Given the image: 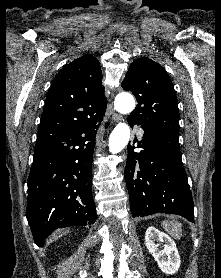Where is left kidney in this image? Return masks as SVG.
<instances>
[{"mask_svg":"<svg viewBox=\"0 0 221 278\" xmlns=\"http://www.w3.org/2000/svg\"><path fill=\"white\" fill-rule=\"evenodd\" d=\"M145 245L164 273L172 275L178 271L181 260L171 237L150 226L145 233Z\"/></svg>","mask_w":221,"mask_h":278,"instance_id":"5707ae66","label":"left kidney"}]
</instances>
